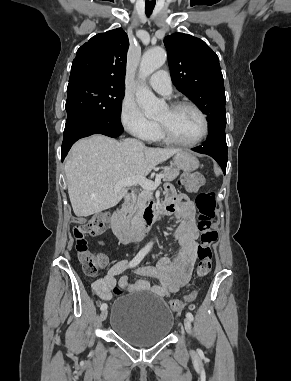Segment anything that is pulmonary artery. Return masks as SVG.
<instances>
[{
    "label": "pulmonary artery",
    "instance_id": "1",
    "mask_svg": "<svg viewBox=\"0 0 291 381\" xmlns=\"http://www.w3.org/2000/svg\"><path fill=\"white\" fill-rule=\"evenodd\" d=\"M152 88L158 93L169 96L172 92V85L169 73L165 70L155 72L149 79Z\"/></svg>",
    "mask_w": 291,
    "mask_h": 381
}]
</instances>
